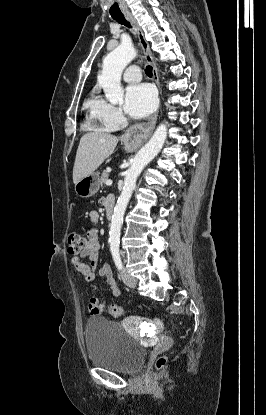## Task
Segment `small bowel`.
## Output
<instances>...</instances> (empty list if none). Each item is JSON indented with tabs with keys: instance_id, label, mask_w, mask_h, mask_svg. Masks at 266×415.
<instances>
[{
	"instance_id": "obj_1",
	"label": "small bowel",
	"mask_w": 266,
	"mask_h": 415,
	"mask_svg": "<svg viewBox=\"0 0 266 415\" xmlns=\"http://www.w3.org/2000/svg\"><path fill=\"white\" fill-rule=\"evenodd\" d=\"M109 201L114 202L112 196L105 198V204ZM99 220V214L97 211H91L89 213V221L92 226H95ZM87 246L79 253L78 256H74L71 259V264L75 270L80 273L86 283H92L95 280V270L98 266L100 240L96 229L92 228L88 231ZM86 260V261H85ZM99 275L104 278L106 287L102 288L103 293L111 292L114 296L120 295V288L115 281L111 269L108 264H104L98 271ZM104 303H101L98 298L93 297L90 299L88 310L91 315H96L102 311Z\"/></svg>"
}]
</instances>
